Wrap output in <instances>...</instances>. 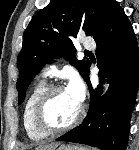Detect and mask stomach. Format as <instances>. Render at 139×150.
<instances>
[{
    "mask_svg": "<svg viewBox=\"0 0 139 150\" xmlns=\"http://www.w3.org/2000/svg\"><path fill=\"white\" fill-rule=\"evenodd\" d=\"M58 150H89V149L73 145H62L58 148Z\"/></svg>",
    "mask_w": 139,
    "mask_h": 150,
    "instance_id": "1",
    "label": "stomach"
}]
</instances>
